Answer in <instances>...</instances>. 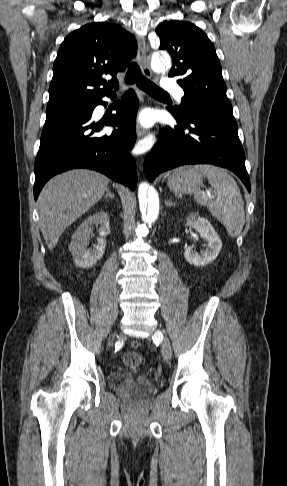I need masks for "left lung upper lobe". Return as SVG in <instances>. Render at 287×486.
Wrapping results in <instances>:
<instances>
[{
    "instance_id": "1",
    "label": "left lung upper lobe",
    "mask_w": 287,
    "mask_h": 486,
    "mask_svg": "<svg viewBox=\"0 0 287 486\" xmlns=\"http://www.w3.org/2000/svg\"><path fill=\"white\" fill-rule=\"evenodd\" d=\"M156 33L161 40L159 49L168 51L173 58L169 76H177V83L185 92L182 106L170 110L180 118L197 114L237 127L222 68L207 35L194 24L177 20L161 23Z\"/></svg>"
}]
</instances>
